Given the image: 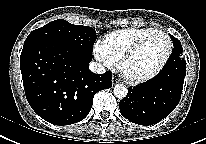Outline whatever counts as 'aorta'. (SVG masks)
I'll use <instances>...</instances> for the list:
<instances>
[{"instance_id": "aorta-1", "label": "aorta", "mask_w": 206, "mask_h": 144, "mask_svg": "<svg viewBox=\"0 0 206 144\" xmlns=\"http://www.w3.org/2000/svg\"><path fill=\"white\" fill-rule=\"evenodd\" d=\"M128 89L123 84H117L114 86L113 94L119 98L123 99L127 96Z\"/></svg>"}]
</instances>
